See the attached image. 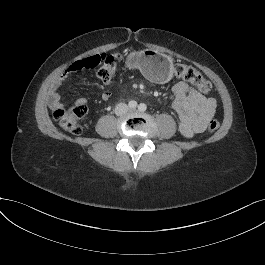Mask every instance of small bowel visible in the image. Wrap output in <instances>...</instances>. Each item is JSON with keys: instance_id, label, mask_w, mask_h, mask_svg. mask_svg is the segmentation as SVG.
Instances as JSON below:
<instances>
[{"instance_id": "small-bowel-1", "label": "small bowel", "mask_w": 265, "mask_h": 265, "mask_svg": "<svg viewBox=\"0 0 265 265\" xmlns=\"http://www.w3.org/2000/svg\"><path fill=\"white\" fill-rule=\"evenodd\" d=\"M69 75L65 72L53 85L48 96L49 106L55 109L60 106L59 87L62 81ZM173 106L179 118V130L185 137H192L196 133L205 131L208 122L214 117L216 111V100L200 93L190 87L186 82L180 81L173 86ZM112 94L110 91H103L101 99L108 101ZM86 98H79L76 104L85 105Z\"/></svg>"}]
</instances>
